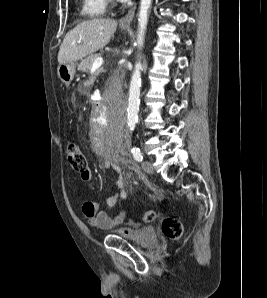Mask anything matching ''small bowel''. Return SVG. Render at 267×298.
Wrapping results in <instances>:
<instances>
[{
	"instance_id": "1",
	"label": "small bowel",
	"mask_w": 267,
	"mask_h": 298,
	"mask_svg": "<svg viewBox=\"0 0 267 298\" xmlns=\"http://www.w3.org/2000/svg\"><path fill=\"white\" fill-rule=\"evenodd\" d=\"M119 174L118 179L116 180L117 191L106 198V205L109 207L114 206L118 200L127 198V191L125 188V180L122 176L121 169L118 166L111 165ZM85 181L91 179V171L89 170L88 176L82 178ZM81 211L88 223L96 228L109 230L115 227L116 225L123 222L125 218V211L121 210L116 215H109L106 211L101 210L99 203L94 200L86 201L82 204ZM120 232L123 234H129V228H122Z\"/></svg>"
}]
</instances>
